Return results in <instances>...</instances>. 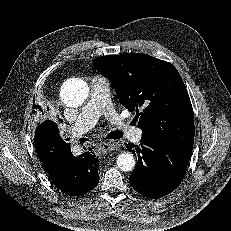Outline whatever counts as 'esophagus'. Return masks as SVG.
<instances>
[{"label":"esophagus","mask_w":231,"mask_h":231,"mask_svg":"<svg viewBox=\"0 0 231 231\" xmlns=\"http://www.w3.org/2000/svg\"><path fill=\"white\" fill-rule=\"evenodd\" d=\"M116 146H117L116 143L113 141H103L100 144V150L103 153H108L115 150Z\"/></svg>","instance_id":"esophagus-1"}]
</instances>
